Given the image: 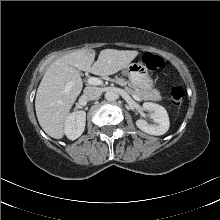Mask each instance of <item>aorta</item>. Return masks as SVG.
Wrapping results in <instances>:
<instances>
[{"instance_id":"762f6f07","label":"aorta","mask_w":220,"mask_h":220,"mask_svg":"<svg viewBox=\"0 0 220 220\" xmlns=\"http://www.w3.org/2000/svg\"><path fill=\"white\" fill-rule=\"evenodd\" d=\"M117 94L113 91H107L105 93V99L109 102L115 101L117 99Z\"/></svg>"}]
</instances>
